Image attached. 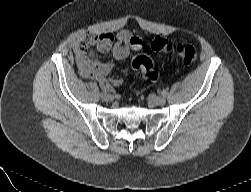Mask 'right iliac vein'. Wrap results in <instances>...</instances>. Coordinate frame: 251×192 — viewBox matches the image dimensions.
Segmentation results:
<instances>
[{
  "mask_svg": "<svg viewBox=\"0 0 251 192\" xmlns=\"http://www.w3.org/2000/svg\"><path fill=\"white\" fill-rule=\"evenodd\" d=\"M104 99H105L106 101L110 102V101H113V100H114V96L111 95V94H107V95L104 97Z\"/></svg>",
  "mask_w": 251,
  "mask_h": 192,
  "instance_id": "1",
  "label": "right iliac vein"
}]
</instances>
